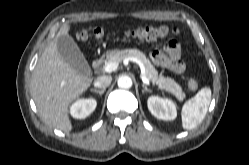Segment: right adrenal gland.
Segmentation results:
<instances>
[{
    "mask_svg": "<svg viewBox=\"0 0 249 165\" xmlns=\"http://www.w3.org/2000/svg\"><path fill=\"white\" fill-rule=\"evenodd\" d=\"M90 90L92 92H95V93L99 94L100 96H102L104 94V92H105L106 89L104 88V89L98 90V89L91 88Z\"/></svg>",
    "mask_w": 249,
    "mask_h": 165,
    "instance_id": "1",
    "label": "right adrenal gland"
}]
</instances>
